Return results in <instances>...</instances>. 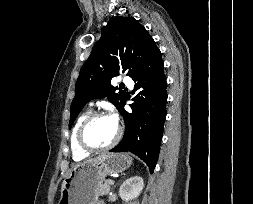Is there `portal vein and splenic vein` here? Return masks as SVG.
Wrapping results in <instances>:
<instances>
[{"mask_svg":"<svg viewBox=\"0 0 253 204\" xmlns=\"http://www.w3.org/2000/svg\"><path fill=\"white\" fill-rule=\"evenodd\" d=\"M109 184H110V185H113V184H114V181H113V180H109Z\"/></svg>","mask_w":253,"mask_h":204,"instance_id":"obj_1","label":"portal vein and splenic vein"}]
</instances>
